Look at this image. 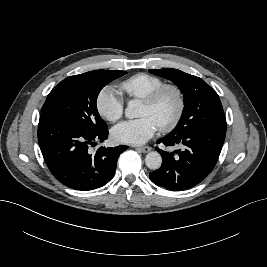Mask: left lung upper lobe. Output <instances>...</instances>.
I'll list each match as a JSON object with an SVG mask.
<instances>
[{"label": "left lung upper lobe", "instance_id": "1", "mask_svg": "<svg viewBox=\"0 0 267 267\" xmlns=\"http://www.w3.org/2000/svg\"><path fill=\"white\" fill-rule=\"evenodd\" d=\"M149 72L171 80L184 95L182 116L168 136H178L197 129L226 128L219 96L201 78L170 68L150 69Z\"/></svg>", "mask_w": 267, "mask_h": 267}]
</instances>
